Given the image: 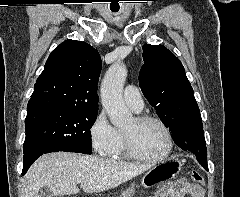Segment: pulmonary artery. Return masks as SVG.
<instances>
[{"label": "pulmonary artery", "instance_id": "pulmonary-artery-1", "mask_svg": "<svg viewBox=\"0 0 240 197\" xmlns=\"http://www.w3.org/2000/svg\"><path fill=\"white\" fill-rule=\"evenodd\" d=\"M124 102L135 112H140L143 109L144 102L139 89L135 86L128 85L123 93Z\"/></svg>", "mask_w": 240, "mask_h": 197}]
</instances>
